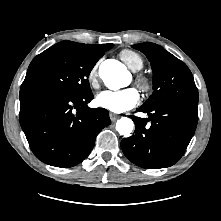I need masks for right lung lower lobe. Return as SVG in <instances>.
Segmentation results:
<instances>
[{"mask_svg":"<svg viewBox=\"0 0 221 221\" xmlns=\"http://www.w3.org/2000/svg\"><path fill=\"white\" fill-rule=\"evenodd\" d=\"M92 99V92L69 96L49 88L20 90V124L39 160L69 168L89 155L98 133L111 124L106 109L87 106Z\"/></svg>","mask_w":221,"mask_h":221,"instance_id":"1","label":"right lung lower lobe"}]
</instances>
